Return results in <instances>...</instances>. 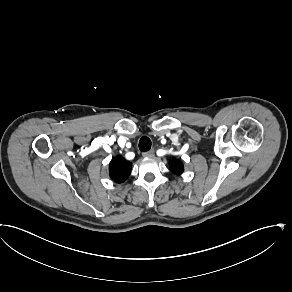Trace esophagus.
Masks as SVG:
<instances>
[{"label":"esophagus","instance_id":"obj_1","mask_svg":"<svg viewBox=\"0 0 292 292\" xmlns=\"http://www.w3.org/2000/svg\"><path fill=\"white\" fill-rule=\"evenodd\" d=\"M154 154H155L154 149H151L149 151H146V152L142 153L143 157H149V158L154 157Z\"/></svg>","mask_w":292,"mask_h":292}]
</instances>
